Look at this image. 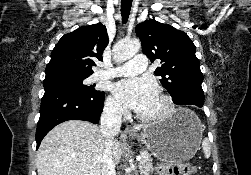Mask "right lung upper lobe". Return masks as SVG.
<instances>
[{
    "mask_svg": "<svg viewBox=\"0 0 251 175\" xmlns=\"http://www.w3.org/2000/svg\"><path fill=\"white\" fill-rule=\"evenodd\" d=\"M106 27L101 24L82 26L65 34L51 53L46 66V77L90 76L94 60H102V53L108 44Z\"/></svg>",
    "mask_w": 251,
    "mask_h": 175,
    "instance_id": "cb5924a9",
    "label": "right lung upper lobe"
}]
</instances>
